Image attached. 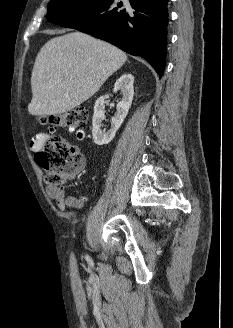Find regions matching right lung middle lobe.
I'll return each instance as SVG.
<instances>
[{
  "label": "right lung middle lobe",
  "mask_w": 233,
  "mask_h": 328,
  "mask_svg": "<svg viewBox=\"0 0 233 328\" xmlns=\"http://www.w3.org/2000/svg\"><path fill=\"white\" fill-rule=\"evenodd\" d=\"M97 1L98 0H50L46 16L50 22L55 23L57 20L85 9Z\"/></svg>",
  "instance_id": "1"
}]
</instances>
